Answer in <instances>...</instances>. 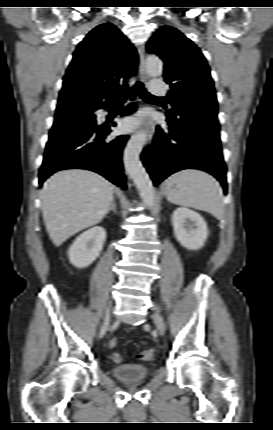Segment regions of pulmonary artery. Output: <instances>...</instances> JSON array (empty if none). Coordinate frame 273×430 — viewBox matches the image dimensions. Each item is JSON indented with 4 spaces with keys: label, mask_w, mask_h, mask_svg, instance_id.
Returning <instances> with one entry per match:
<instances>
[{
    "label": "pulmonary artery",
    "mask_w": 273,
    "mask_h": 430,
    "mask_svg": "<svg viewBox=\"0 0 273 430\" xmlns=\"http://www.w3.org/2000/svg\"><path fill=\"white\" fill-rule=\"evenodd\" d=\"M153 93L157 96H165L168 91L165 84L161 81H155L153 83Z\"/></svg>",
    "instance_id": "pulmonary-artery-1"
}]
</instances>
